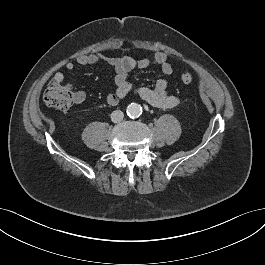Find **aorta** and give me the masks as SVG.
Returning a JSON list of instances; mask_svg holds the SVG:
<instances>
[{
	"instance_id": "obj_1",
	"label": "aorta",
	"mask_w": 265,
	"mask_h": 265,
	"mask_svg": "<svg viewBox=\"0 0 265 265\" xmlns=\"http://www.w3.org/2000/svg\"><path fill=\"white\" fill-rule=\"evenodd\" d=\"M126 113L130 118H138L142 114V108L137 103H131L127 106Z\"/></svg>"
}]
</instances>
